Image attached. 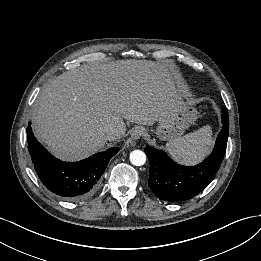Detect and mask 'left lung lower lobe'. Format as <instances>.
Returning a JSON list of instances; mask_svg holds the SVG:
<instances>
[{
  "label": "left lung lower lobe",
  "instance_id": "obj_1",
  "mask_svg": "<svg viewBox=\"0 0 261 261\" xmlns=\"http://www.w3.org/2000/svg\"><path fill=\"white\" fill-rule=\"evenodd\" d=\"M223 128L212 153L200 164L182 166L173 162L162 150L147 146L149 187L161 200L180 202L199 194L213 179L224 158L229 133L228 110H222Z\"/></svg>",
  "mask_w": 261,
  "mask_h": 261
}]
</instances>
